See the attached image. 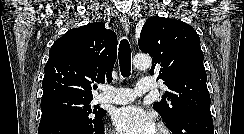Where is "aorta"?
I'll return each instance as SVG.
<instances>
[{
  "mask_svg": "<svg viewBox=\"0 0 244 134\" xmlns=\"http://www.w3.org/2000/svg\"><path fill=\"white\" fill-rule=\"evenodd\" d=\"M135 68L144 70L148 69L152 65V60L148 55H136L133 59Z\"/></svg>",
  "mask_w": 244,
  "mask_h": 134,
  "instance_id": "1",
  "label": "aorta"
}]
</instances>
